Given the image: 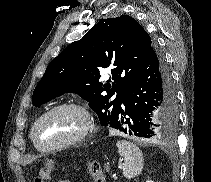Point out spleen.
Listing matches in <instances>:
<instances>
[{
    "label": "spleen",
    "instance_id": "spleen-1",
    "mask_svg": "<svg viewBox=\"0 0 211 182\" xmlns=\"http://www.w3.org/2000/svg\"><path fill=\"white\" fill-rule=\"evenodd\" d=\"M118 153L124 158L123 176L126 179H133L140 175L143 169L142 151L133 143L121 140L116 143Z\"/></svg>",
    "mask_w": 211,
    "mask_h": 182
}]
</instances>
